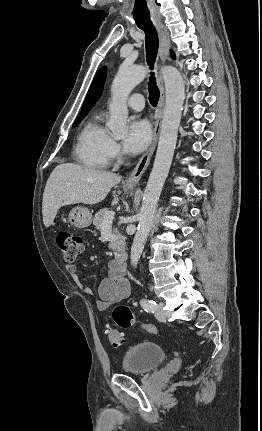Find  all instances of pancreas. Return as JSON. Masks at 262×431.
Returning <instances> with one entry per match:
<instances>
[{
    "instance_id": "cf45deb5",
    "label": "pancreas",
    "mask_w": 262,
    "mask_h": 431,
    "mask_svg": "<svg viewBox=\"0 0 262 431\" xmlns=\"http://www.w3.org/2000/svg\"><path fill=\"white\" fill-rule=\"evenodd\" d=\"M108 212H110L108 208H103L98 213L95 214V217L93 219V224L96 227V229L101 230L102 225H103V220H104V218ZM113 234L115 236H117V239L112 240L110 242L109 248L116 249V248L123 246L124 240H123L121 234L119 233V231L117 230V228H115L113 230Z\"/></svg>"
}]
</instances>
